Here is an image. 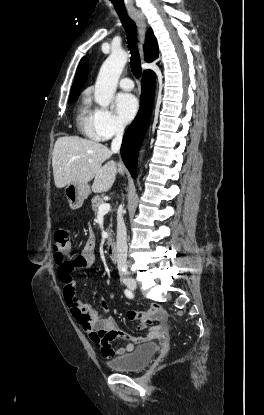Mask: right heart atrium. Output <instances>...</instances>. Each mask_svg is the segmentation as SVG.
<instances>
[{
	"instance_id": "d8ad5b80",
	"label": "right heart atrium",
	"mask_w": 264,
	"mask_h": 415,
	"mask_svg": "<svg viewBox=\"0 0 264 415\" xmlns=\"http://www.w3.org/2000/svg\"><path fill=\"white\" fill-rule=\"evenodd\" d=\"M95 127L102 139H107L121 133L123 124L116 115L106 108L94 109Z\"/></svg>"
}]
</instances>
